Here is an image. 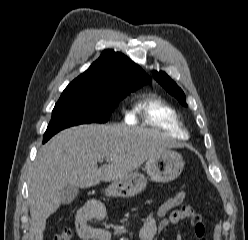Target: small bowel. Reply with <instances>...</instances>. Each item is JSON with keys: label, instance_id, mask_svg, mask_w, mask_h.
<instances>
[{"label": "small bowel", "instance_id": "1", "mask_svg": "<svg viewBox=\"0 0 248 240\" xmlns=\"http://www.w3.org/2000/svg\"><path fill=\"white\" fill-rule=\"evenodd\" d=\"M149 198L146 203L150 204ZM106 209L102 202L90 200L79 209L75 219L76 233L81 240H113L112 233L104 228L95 227L94 224L104 219ZM188 220L193 227L195 236L200 240H207L205 237V225L201 214L196 212L190 205L169 212L166 216L158 218L149 213L138 231L139 240H157L159 234L168 225L180 224ZM175 240H182L181 235H177Z\"/></svg>", "mask_w": 248, "mask_h": 240}]
</instances>
